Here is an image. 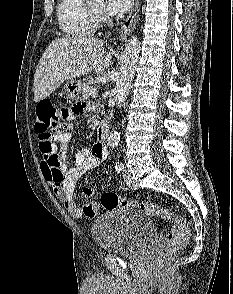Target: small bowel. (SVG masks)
I'll return each instance as SVG.
<instances>
[{
  "instance_id": "1",
  "label": "small bowel",
  "mask_w": 233,
  "mask_h": 294,
  "mask_svg": "<svg viewBox=\"0 0 233 294\" xmlns=\"http://www.w3.org/2000/svg\"><path fill=\"white\" fill-rule=\"evenodd\" d=\"M88 108L85 104H74L73 108H60L62 118L58 121L60 129H73L75 122H79L78 116ZM71 137L69 130L58 133L50 149H40L42 152L41 170L57 198L73 217L77 219L93 217L98 212V205L93 201H87L83 207H78L73 195L79 178L104 161L106 150L102 144L96 143L91 148L77 151L74 156H66V148ZM66 161H73V163ZM82 194L89 199L93 196L94 190L91 187H85ZM89 205L93 206L91 212L86 211Z\"/></svg>"
}]
</instances>
